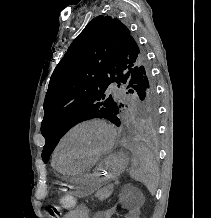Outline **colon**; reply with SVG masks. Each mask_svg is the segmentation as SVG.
<instances>
[{
    "label": "colon",
    "instance_id": "obj_1",
    "mask_svg": "<svg viewBox=\"0 0 211 218\" xmlns=\"http://www.w3.org/2000/svg\"><path fill=\"white\" fill-rule=\"evenodd\" d=\"M60 205L65 209H73L76 207V199L70 193H64L60 197Z\"/></svg>",
    "mask_w": 211,
    "mask_h": 218
}]
</instances>
